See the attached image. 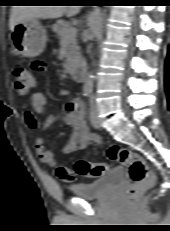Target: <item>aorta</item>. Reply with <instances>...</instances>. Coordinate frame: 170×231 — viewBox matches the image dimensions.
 Returning a JSON list of instances; mask_svg holds the SVG:
<instances>
[{"label": "aorta", "mask_w": 170, "mask_h": 231, "mask_svg": "<svg viewBox=\"0 0 170 231\" xmlns=\"http://www.w3.org/2000/svg\"><path fill=\"white\" fill-rule=\"evenodd\" d=\"M93 78H94V76H93L92 73H89L87 75V77L85 78L84 83H85V86H86L87 90L92 89V87H93Z\"/></svg>", "instance_id": "aorta-1"}]
</instances>
